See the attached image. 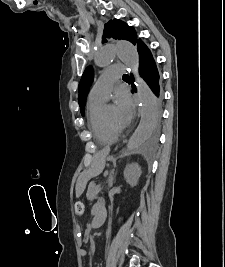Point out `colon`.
<instances>
[{"label":"colon","mask_w":225,"mask_h":267,"mask_svg":"<svg viewBox=\"0 0 225 267\" xmlns=\"http://www.w3.org/2000/svg\"><path fill=\"white\" fill-rule=\"evenodd\" d=\"M74 212L77 216H81L84 213V205L82 202L75 203Z\"/></svg>","instance_id":"colon-1"}]
</instances>
